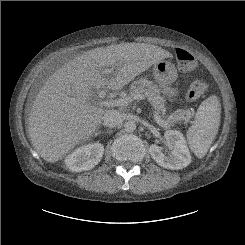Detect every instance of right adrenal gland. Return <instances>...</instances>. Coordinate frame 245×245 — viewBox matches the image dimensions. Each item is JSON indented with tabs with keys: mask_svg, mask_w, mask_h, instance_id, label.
<instances>
[{
	"mask_svg": "<svg viewBox=\"0 0 245 245\" xmlns=\"http://www.w3.org/2000/svg\"><path fill=\"white\" fill-rule=\"evenodd\" d=\"M101 133H102V131H98V132L95 133V136H97V135H99Z\"/></svg>",
	"mask_w": 245,
	"mask_h": 245,
	"instance_id": "obj_1",
	"label": "right adrenal gland"
}]
</instances>
